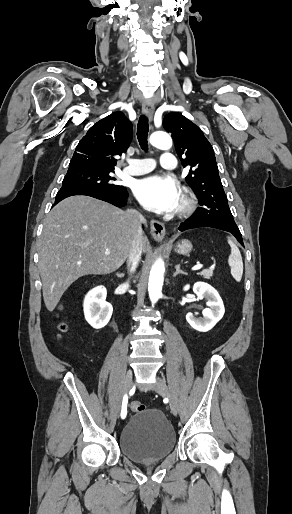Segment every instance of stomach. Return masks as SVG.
Masks as SVG:
<instances>
[{"label": "stomach", "instance_id": "0dacf381", "mask_svg": "<svg viewBox=\"0 0 292 514\" xmlns=\"http://www.w3.org/2000/svg\"><path fill=\"white\" fill-rule=\"evenodd\" d=\"M192 248L193 246L191 242H188V240H182L180 244H177L175 252H177V254H183V256H187V254H190Z\"/></svg>", "mask_w": 292, "mask_h": 514}]
</instances>
